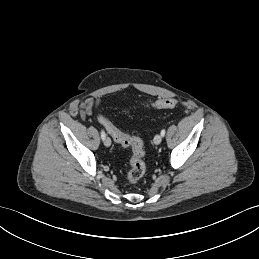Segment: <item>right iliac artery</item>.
<instances>
[{
  "mask_svg": "<svg viewBox=\"0 0 259 259\" xmlns=\"http://www.w3.org/2000/svg\"><path fill=\"white\" fill-rule=\"evenodd\" d=\"M105 137H106V134H105L104 130H101V138H102V140H104Z\"/></svg>",
  "mask_w": 259,
  "mask_h": 259,
  "instance_id": "1",
  "label": "right iliac artery"
}]
</instances>
